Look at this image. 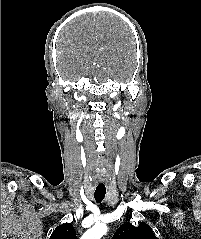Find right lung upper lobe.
Wrapping results in <instances>:
<instances>
[{
	"instance_id": "obj_1",
	"label": "right lung upper lobe",
	"mask_w": 201,
	"mask_h": 239,
	"mask_svg": "<svg viewBox=\"0 0 201 239\" xmlns=\"http://www.w3.org/2000/svg\"><path fill=\"white\" fill-rule=\"evenodd\" d=\"M50 239H76V232L70 223H65L56 227Z\"/></svg>"
}]
</instances>
